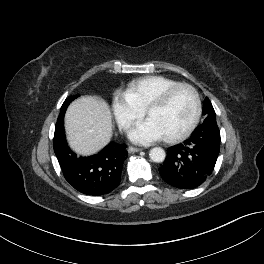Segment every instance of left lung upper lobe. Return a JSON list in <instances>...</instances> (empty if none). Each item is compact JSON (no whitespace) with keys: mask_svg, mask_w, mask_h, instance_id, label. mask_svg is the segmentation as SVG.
I'll list each match as a JSON object with an SVG mask.
<instances>
[{"mask_svg":"<svg viewBox=\"0 0 264 264\" xmlns=\"http://www.w3.org/2000/svg\"><path fill=\"white\" fill-rule=\"evenodd\" d=\"M203 115H205V120L204 122L208 121H214L216 122V115L214 112V108L210 102V100L206 97L204 102H203Z\"/></svg>","mask_w":264,"mask_h":264,"instance_id":"5c2ea615","label":"left lung upper lobe"}]
</instances>
